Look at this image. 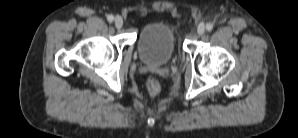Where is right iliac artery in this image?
I'll return each mask as SVG.
<instances>
[{"mask_svg":"<svg viewBox=\"0 0 298 138\" xmlns=\"http://www.w3.org/2000/svg\"><path fill=\"white\" fill-rule=\"evenodd\" d=\"M107 20L109 22H112L114 20V16L113 15H108Z\"/></svg>","mask_w":298,"mask_h":138,"instance_id":"1","label":"right iliac artery"}]
</instances>
